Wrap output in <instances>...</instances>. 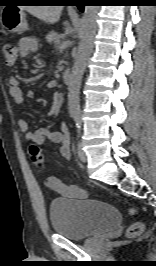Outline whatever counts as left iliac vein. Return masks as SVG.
<instances>
[{
	"mask_svg": "<svg viewBox=\"0 0 156 266\" xmlns=\"http://www.w3.org/2000/svg\"><path fill=\"white\" fill-rule=\"evenodd\" d=\"M77 152H78V157L82 162H86L87 161V155L86 153L83 151L81 144H78V148H77Z\"/></svg>",
	"mask_w": 156,
	"mask_h": 266,
	"instance_id": "4c4485c4",
	"label": "left iliac vein"
}]
</instances>
